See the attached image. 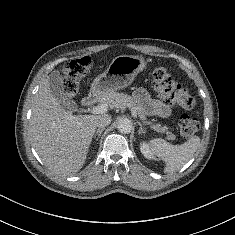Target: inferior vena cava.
I'll return each mask as SVG.
<instances>
[{
	"label": "inferior vena cava",
	"mask_w": 235,
	"mask_h": 235,
	"mask_svg": "<svg viewBox=\"0 0 235 235\" xmlns=\"http://www.w3.org/2000/svg\"><path fill=\"white\" fill-rule=\"evenodd\" d=\"M111 123V116L110 115H102L97 120V127L102 128Z\"/></svg>",
	"instance_id": "inferior-vena-cava-1"
}]
</instances>
